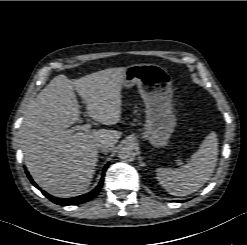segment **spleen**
Here are the masks:
<instances>
[{
    "label": "spleen",
    "mask_w": 247,
    "mask_h": 245,
    "mask_svg": "<svg viewBox=\"0 0 247 245\" xmlns=\"http://www.w3.org/2000/svg\"><path fill=\"white\" fill-rule=\"evenodd\" d=\"M218 160V139L211 132L183 168H158L157 180L174 196H186L200 189L212 176Z\"/></svg>",
    "instance_id": "obj_1"
}]
</instances>
